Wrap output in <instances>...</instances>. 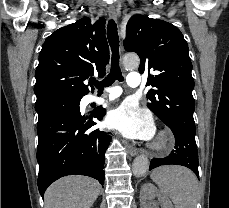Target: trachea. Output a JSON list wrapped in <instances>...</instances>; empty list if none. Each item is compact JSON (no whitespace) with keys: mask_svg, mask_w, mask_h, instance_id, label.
Segmentation results:
<instances>
[{"mask_svg":"<svg viewBox=\"0 0 229 208\" xmlns=\"http://www.w3.org/2000/svg\"><path fill=\"white\" fill-rule=\"evenodd\" d=\"M107 38L109 41V45L112 51V58H111V69L110 73L107 75L106 78L102 81H94L93 85L98 88V91H102L104 87H110L115 80L119 82H123V76L120 69L119 63V37H118V30L117 25L114 20H109L107 25Z\"/></svg>","mask_w":229,"mask_h":208,"instance_id":"1","label":"trachea"}]
</instances>
